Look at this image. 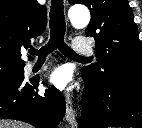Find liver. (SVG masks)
Returning <instances> with one entry per match:
<instances>
[{"mask_svg": "<svg viewBox=\"0 0 142 128\" xmlns=\"http://www.w3.org/2000/svg\"><path fill=\"white\" fill-rule=\"evenodd\" d=\"M0 128H32L20 121L0 120Z\"/></svg>", "mask_w": 142, "mask_h": 128, "instance_id": "1", "label": "liver"}]
</instances>
